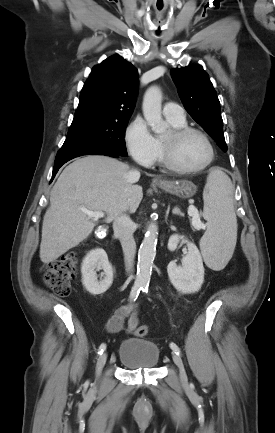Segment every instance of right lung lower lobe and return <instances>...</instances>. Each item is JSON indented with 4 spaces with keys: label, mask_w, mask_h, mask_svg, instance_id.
Returning <instances> with one entry per match:
<instances>
[{
    "label": "right lung lower lobe",
    "mask_w": 275,
    "mask_h": 433,
    "mask_svg": "<svg viewBox=\"0 0 275 433\" xmlns=\"http://www.w3.org/2000/svg\"><path fill=\"white\" fill-rule=\"evenodd\" d=\"M94 154H96V155H106V156L115 157V158L118 157V155L113 154V153H109V152H98V153H94ZM77 157H78V156H77ZM73 158H75V157H69V158H65V159H61V160L55 161V166H54V169H53V174H52V179H51V181H52L53 178L55 177V175H56L57 171L59 170V168H60L63 164H65L67 161H69V160H71V159H73Z\"/></svg>",
    "instance_id": "1"
}]
</instances>
